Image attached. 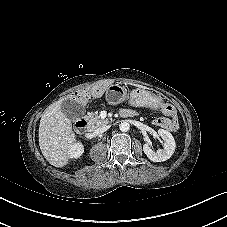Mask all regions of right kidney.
<instances>
[{
    "mask_svg": "<svg viewBox=\"0 0 227 227\" xmlns=\"http://www.w3.org/2000/svg\"><path fill=\"white\" fill-rule=\"evenodd\" d=\"M84 152V146L81 142L74 143L68 150V157L71 159L79 158Z\"/></svg>",
    "mask_w": 227,
    "mask_h": 227,
    "instance_id": "1",
    "label": "right kidney"
}]
</instances>
